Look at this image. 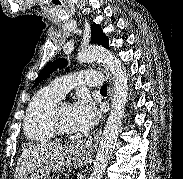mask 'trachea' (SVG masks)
<instances>
[{
    "instance_id": "obj_1",
    "label": "trachea",
    "mask_w": 183,
    "mask_h": 179,
    "mask_svg": "<svg viewBox=\"0 0 183 179\" xmlns=\"http://www.w3.org/2000/svg\"><path fill=\"white\" fill-rule=\"evenodd\" d=\"M101 91H107V86H106V84H104V85L101 87Z\"/></svg>"
}]
</instances>
